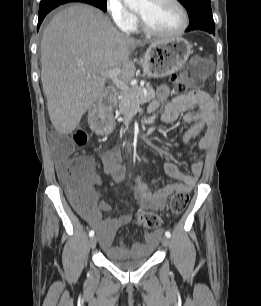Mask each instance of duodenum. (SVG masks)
Instances as JSON below:
<instances>
[{"mask_svg":"<svg viewBox=\"0 0 261 306\" xmlns=\"http://www.w3.org/2000/svg\"><path fill=\"white\" fill-rule=\"evenodd\" d=\"M117 99V91L114 87L108 86L105 90V94L100 101V109H109Z\"/></svg>","mask_w":261,"mask_h":306,"instance_id":"duodenum-1","label":"duodenum"}]
</instances>
